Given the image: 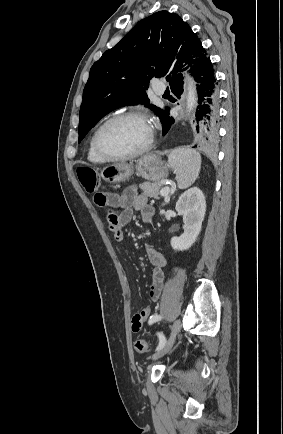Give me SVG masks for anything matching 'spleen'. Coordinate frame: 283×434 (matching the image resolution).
Segmentation results:
<instances>
[{"label":"spleen","instance_id":"1","mask_svg":"<svg viewBox=\"0 0 283 434\" xmlns=\"http://www.w3.org/2000/svg\"><path fill=\"white\" fill-rule=\"evenodd\" d=\"M168 163L176 175L178 187L186 189L195 182L199 175L201 155L190 148H178L170 153Z\"/></svg>","mask_w":283,"mask_h":434}]
</instances>
